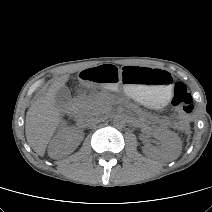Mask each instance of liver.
<instances>
[{
  "mask_svg": "<svg viewBox=\"0 0 212 212\" xmlns=\"http://www.w3.org/2000/svg\"><path fill=\"white\" fill-rule=\"evenodd\" d=\"M68 79L69 75H64L54 80L45 95L36 100L27 111L26 139L40 156H44L47 144L60 122L61 114L56 107L55 95Z\"/></svg>",
  "mask_w": 212,
  "mask_h": 212,
  "instance_id": "6515ba94",
  "label": "liver"
}]
</instances>
